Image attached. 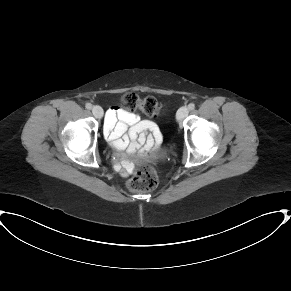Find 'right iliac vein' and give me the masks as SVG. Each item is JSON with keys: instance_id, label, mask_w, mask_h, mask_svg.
Returning <instances> with one entry per match:
<instances>
[{"instance_id": "obj_1", "label": "right iliac vein", "mask_w": 291, "mask_h": 291, "mask_svg": "<svg viewBox=\"0 0 291 291\" xmlns=\"http://www.w3.org/2000/svg\"><path fill=\"white\" fill-rule=\"evenodd\" d=\"M92 113L98 119L103 117V109L98 105L93 106Z\"/></svg>"}]
</instances>
